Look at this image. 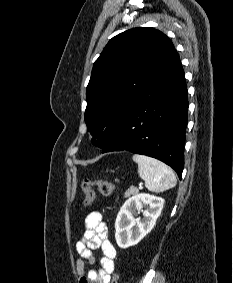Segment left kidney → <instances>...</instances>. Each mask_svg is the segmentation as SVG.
I'll use <instances>...</instances> for the list:
<instances>
[{
	"mask_svg": "<svg viewBox=\"0 0 233 283\" xmlns=\"http://www.w3.org/2000/svg\"><path fill=\"white\" fill-rule=\"evenodd\" d=\"M164 199L150 194H138L129 198L120 209L115 222V239L117 245L126 249L138 244L156 224L163 209ZM143 211V218L135 219L134 215Z\"/></svg>",
	"mask_w": 233,
	"mask_h": 283,
	"instance_id": "obj_1",
	"label": "left kidney"
}]
</instances>
